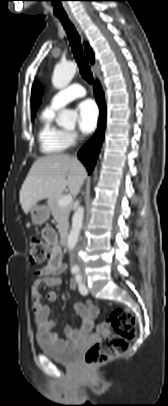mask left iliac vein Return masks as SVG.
I'll return each instance as SVG.
<instances>
[{
    "label": "left iliac vein",
    "mask_w": 168,
    "mask_h": 406,
    "mask_svg": "<svg viewBox=\"0 0 168 406\" xmlns=\"http://www.w3.org/2000/svg\"><path fill=\"white\" fill-rule=\"evenodd\" d=\"M83 281H84V283H86V277L85 276H83Z\"/></svg>",
    "instance_id": "obj_1"
}]
</instances>
